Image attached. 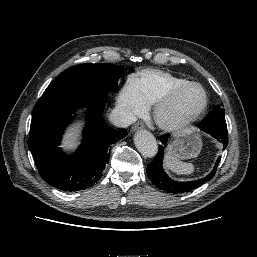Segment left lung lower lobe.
<instances>
[{"label":"left lung lower lobe","mask_w":257,"mask_h":257,"mask_svg":"<svg viewBox=\"0 0 257 257\" xmlns=\"http://www.w3.org/2000/svg\"><path fill=\"white\" fill-rule=\"evenodd\" d=\"M201 130L209 133L213 138H215L221 145L223 149H225L228 145V134L227 128L225 129H214L200 126ZM170 135L164 134L160 137L162 145H159L158 153L155 158L147 165V175L152 181V183L166 192L170 193H185L196 189L201 186L208 180L212 179L216 173L218 164L221 160L219 157L215 163L214 169L204 178L195 180V181H187V182H176L172 180L167 174L164 172L162 167V161L164 156V149L167 145Z\"/></svg>","instance_id":"0a47b994"}]
</instances>
